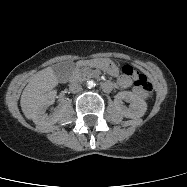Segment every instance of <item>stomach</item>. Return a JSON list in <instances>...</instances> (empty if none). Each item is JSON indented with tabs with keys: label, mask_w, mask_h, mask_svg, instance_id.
<instances>
[{
	"label": "stomach",
	"mask_w": 187,
	"mask_h": 187,
	"mask_svg": "<svg viewBox=\"0 0 187 187\" xmlns=\"http://www.w3.org/2000/svg\"><path fill=\"white\" fill-rule=\"evenodd\" d=\"M88 63L113 76H117L119 73L117 65L109 58H94L88 61Z\"/></svg>",
	"instance_id": "stomach-1"
}]
</instances>
